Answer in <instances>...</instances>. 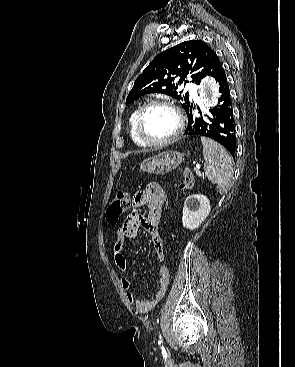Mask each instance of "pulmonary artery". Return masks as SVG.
<instances>
[{
	"label": "pulmonary artery",
	"mask_w": 295,
	"mask_h": 367,
	"mask_svg": "<svg viewBox=\"0 0 295 367\" xmlns=\"http://www.w3.org/2000/svg\"><path fill=\"white\" fill-rule=\"evenodd\" d=\"M186 87H187V89H189V91H190L191 95H192L194 98H197V94H196V91H195V89H194L193 85H192V84H190V83H188V84L186 85Z\"/></svg>",
	"instance_id": "e3ab8cb5"
}]
</instances>
